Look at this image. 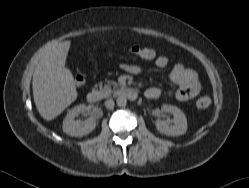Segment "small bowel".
<instances>
[{
    "mask_svg": "<svg viewBox=\"0 0 249 188\" xmlns=\"http://www.w3.org/2000/svg\"><path fill=\"white\" fill-rule=\"evenodd\" d=\"M153 58V57H152ZM169 63L166 56H159L155 60L158 68H165ZM122 69L131 74L139 75L143 72L142 67L135 64H123ZM170 81L177 86L175 91V98L178 101H188L195 98L201 91V84L197 73L189 68H185L181 64H176L170 74ZM162 94V89L159 87H150L146 90V97L150 100L158 99Z\"/></svg>",
    "mask_w": 249,
    "mask_h": 188,
    "instance_id": "1",
    "label": "small bowel"
}]
</instances>
